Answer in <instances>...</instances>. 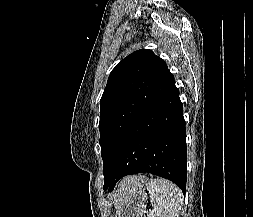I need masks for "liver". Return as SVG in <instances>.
<instances>
[{
  "label": "liver",
  "instance_id": "liver-1",
  "mask_svg": "<svg viewBox=\"0 0 253 217\" xmlns=\"http://www.w3.org/2000/svg\"><path fill=\"white\" fill-rule=\"evenodd\" d=\"M145 180L144 176H127L123 178L118 185L117 194L115 195L116 200L129 195L134 188L142 187Z\"/></svg>",
  "mask_w": 253,
  "mask_h": 217
}]
</instances>
